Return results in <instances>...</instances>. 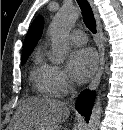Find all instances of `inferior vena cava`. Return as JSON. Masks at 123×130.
I'll return each mask as SVG.
<instances>
[{"label":"inferior vena cava","mask_w":123,"mask_h":130,"mask_svg":"<svg viewBox=\"0 0 123 130\" xmlns=\"http://www.w3.org/2000/svg\"><path fill=\"white\" fill-rule=\"evenodd\" d=\"M76 94L77 92L75 91V89H72L70 101H72L75 98Z\"/></svg>","instance_id":"inferior-vena-cava-1"}]
</instances>
